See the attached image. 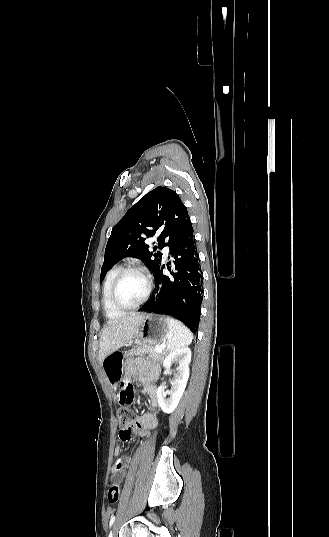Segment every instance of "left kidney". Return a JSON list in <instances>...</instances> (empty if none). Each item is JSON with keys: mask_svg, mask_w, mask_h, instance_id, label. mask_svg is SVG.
<instances>
[{"mask_svg": "<svg viewBox=\"0 0 329 537\" xmlns=\"http://www.w3.org/2000/svg\"><path fill=\"white\" fill-rule=\"evenodd\" d=\"M190 361L191 350L189 348L178 349L165 357L163 366L166 369H170L173 363H177L178 366L171 383V389L166 391L164 385L157 389L158 403L164 413H172L177 408L189 378ZM166 394H169L170 397L166 398Z\"/></svg>", "mask_w": 329, "mask_h": 537, "instance_id": "1", "label": "left kidney"}]
</instances>
